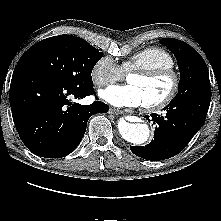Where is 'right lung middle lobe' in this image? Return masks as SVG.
I'll return each instance as SVG.
<instances>
[{
    "mask_svg": "<svg viewBox=\"0 0 221 221\" xmlns=\"http://www.w3.org/2000/svg\"><path fill=\"white\" fill-rule=\"evenodd\" d=\"M102 56L79 37L59 35L31 46L16 67L36 70L70 87L87 89L93 87L91 72Z\"/></svg>",
    "mask_w": 221,
    "mask_h": 221,
    "instance_id": "obj_1",
    "label": "right lung middle lobe"
}]
</instances>
